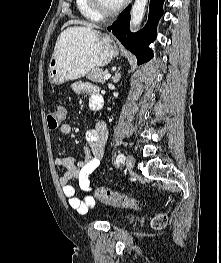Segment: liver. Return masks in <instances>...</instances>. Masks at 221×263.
<instances>
[{
    "label": "liver",
    "instance_id": "obj_1",
    "mask_svg": "<svg viewBox=\"0 0 221 263\" xmlns=\"http://www.w3.org/2000/svg\"><path fill=\"white\" fill-rule=\"evenodd\" d=\"M69 25H82L83 27H81V28H84V29H87V30H94V28H98L97 25H94L92 23H88L86 21L69 20L63 25L62 29L65 28V27H68Z\"/></svg>",
    "mask_w": 221,
    "mask_h": 263
}]
</instances>
